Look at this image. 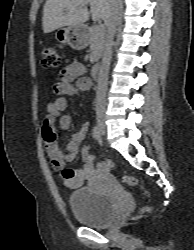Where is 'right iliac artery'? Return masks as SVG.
I'll use <instances>...</instances> for the list:
<instances>
[{
  "label": "right iliac artery",
  "instance_id": "1",
  "mask_svg": "<svg viewBox=\"0 0 194 250\" xmlns=\"http://www.w3.org/2000/svg\"><path fill=\"white\" fill-rule=\"evenodd\" d=\"M92 135H93V138L96 140H98L100 138V131H99L98 126L93 127Z\"/></svg>",
  "mask_w": 194,
  "mask_h": 250
}]
</instances>
